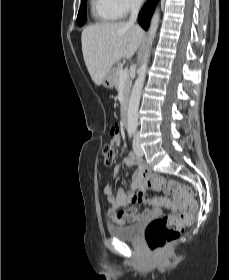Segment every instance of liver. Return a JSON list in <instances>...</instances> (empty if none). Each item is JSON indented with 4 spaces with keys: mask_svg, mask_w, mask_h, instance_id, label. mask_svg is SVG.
Segmentation results:
<instances>
[{
    "mask_svg": "<svg viewBox=\"0 0 229 280\" xmlns=\"http://www.w3.org/2000/svg\"><path fill=\"white\" fill-rule=\"evenodd\" d=\"M144 38V31L127 22H105L86 27L81 43L87 70L100 86L108 71L121 58L130 59Z\"/></svg>",
    "mask_w": 229,
    "mask_h": 280,
    "instance_id": "1",
    "label": "liver"
}]
</instances>
